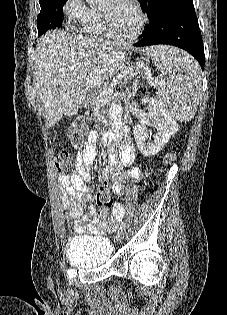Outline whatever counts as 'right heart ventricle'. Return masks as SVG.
Segmentation results:
<instances>
[{
  "mask_svg": "<svg viewBox=\"0 0 227 315\" xmlns=\"http://www.w3.org/2000/svg\"><path fill=\"white\" fill-rule=\"evenodd\" d=\"M81 32L90 36H104L108 34L102 22L101 14L91 9L88 18L80 24Z\"/></svg>",
  "mask_w": 227,
  "mask_h": 315,
  "instance_id": "right-heart-ventricle-1",
  "label": "right heart ventricle"
}]
</instances>
